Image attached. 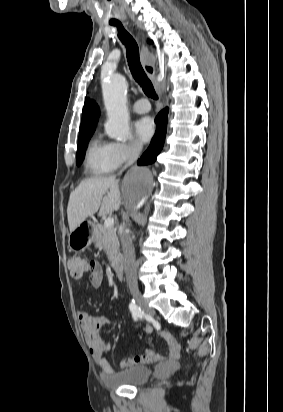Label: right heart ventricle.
I'll return each instance as SVG.
<instances>
[{"mask_svg":"<svg viewBox=\"0 0 283 412\" xmlns=\"http://www.w3.org/2000/svg\"><path fill=\"white\" fill-rule=\"evenodd\" d=\"M85 164L94 175H104L113 172L118 165L111 155V143L95 138L89 144Z\"/></svg>","mask_w":283,"mask_h":412,"instance_id":"obj_1","label":"right heart ventricle"}]
</instances>
